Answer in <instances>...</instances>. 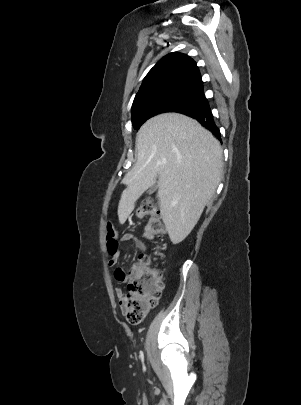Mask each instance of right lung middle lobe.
Masks as SVG:
<instances>
[{
	"label": "right lung middle lobe",
	"instance_id": "1",
	"mask_svg": "<svg viewBox=\"0 0 301 405\" xmlns=\"http://www.w3.org/2000/svg\"><path fill=\"white\" fill-rule=\"evenodd\" d=\"M209 106L201 91L176 88L142 98L132 107V125L135 129L149 118L165 112H181Z\"/></svg>",
	"mask_w": 301,
	"mask_h": 405
}]
</instances>
